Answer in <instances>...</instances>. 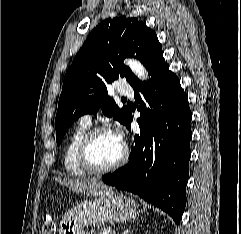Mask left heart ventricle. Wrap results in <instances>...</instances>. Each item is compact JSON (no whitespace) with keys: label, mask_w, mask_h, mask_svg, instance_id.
Here are the masks:
<instances>
[{"label":"left heart ventricle","mask_w":241,"mask_h":234,"mask_svg":"<svg viewBox=\"0 0 241 234\" xmlns=\"http://www.w3.org/2000/svg\"><path fill=\"white\" fill-rule=\"evenodd\" d=\"M123 144L112 132L100 133L94 139L90 148V159L99 167H105L116 162L122 155Z\"/></svg>","instance_id":"left-heart-ventricle-1"}]
</instances>
